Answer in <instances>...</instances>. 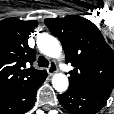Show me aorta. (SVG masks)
<instances>
[{"label": "aorta", "instance_id": "762f6f07", "mask_svg": "<svg viewBox=\"0 0 114 114\" xmlns=\"http://www.w3.org/2000/svg\"><path fill=\"white\" fill-rule=\"evenodd\" d=\"M37 46L41 53L52 58H58L61 55L62 48L58 40L48 34H42L37 38ZM52 85L58 92L67 90L69 81L65 74L57 73L52 78Z\"/></svg>", "mask_w": 114, "mask_h": 114}]
</instances>
